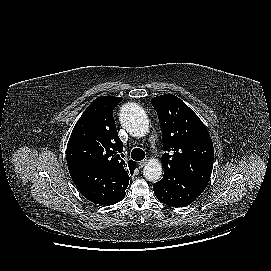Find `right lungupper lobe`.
I'll return each instance as SVG.
<instances>
[{
    "label": "right lung upper lobe",
    "mask_w": 271,
    "mask_h": 271,
    "mask_svg": "<svg viewBox=\"0 0 271 271\" xmlns=\"http://www.w3.org/2000/svg\"><path fill=\"white\" fill-rule=\"evenodd\" d=\"M123 99L114 96L96 98L77 121L67 144V165L83 163L101 170L116 172L125 181L135 169L121 158L123 143L119 139L113 109Z\"/></svg>",
    "instance_id": "cb5924a9"
}]
</instances>
